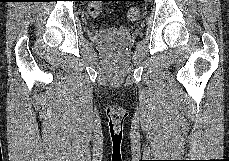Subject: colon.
Segmentation results:
<instances>
[{"instance_id": "5ec220e1", "label": "colon", "mask_w": 229, "mask_h": 161, "mask_svg": "<svg viewBox=\"0 0 229 161\" xmlns=\"http://www.w3.org/2000/svg\"><path fill=\"white\" fill-rule=\"evenodd\" d=\"M88 13L93 17H98L102 13L101 0H90ZM127 18L137 20L140 17V10L137 7H130L126 12Z\"/></svg>"}]
</instances>
